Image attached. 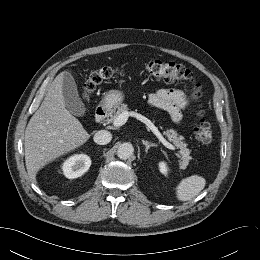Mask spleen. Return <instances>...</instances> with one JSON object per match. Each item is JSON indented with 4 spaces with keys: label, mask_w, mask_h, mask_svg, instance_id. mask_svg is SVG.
Segmentation results:
<instances>
[{
    "label": "spleen",
    "mask_w": 260,
    "mask_h": 260,
    "mask_svg": "<svg viewBox=\"0 0 260 260\" xmlns=\"http://www.w3.org/2000/svg\"><path fill=\"white\" fill-rule=\"evenodd\" d=\"M205 185L206 180L202 176H189L178 184L176 188V197L180 201L191 200L204 189Z\"/></svg>",
    "instance_id": "obj_1"
}]
</instances>
